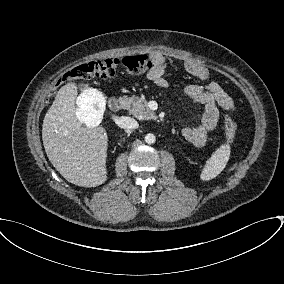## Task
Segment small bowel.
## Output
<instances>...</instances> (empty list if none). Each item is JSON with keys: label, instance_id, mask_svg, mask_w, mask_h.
I'll return each instance as SVG.
<instances>
[{"label": "small bowel", "instance_id": "c3829d8e", "mask_svg": "<svg viewBox=\"0 0 284 284\" xmlns=\"http://www.w3.org/2000/svg\"><path fill=\"white\" fill-rule=\"evenodd\" d=\"M152 68L147 74V78L157 87L165 88L168 85L164 77L168 58L160 52L154 51L150 54ZM183 69L190 75L201 81L209 78V70L203 64L185 60L182 62ZM186 96L195 103L202 106L201 124L195 127H186L182 131V136L195 147L202 148L206 145L209 133L215 131L219 122V109L224 111H234V104L229 94L222 86L214 81L201 84H189L184 90Z\"/></svg>", "mask_w": 284, "mask_h": 284}]
</instances>
